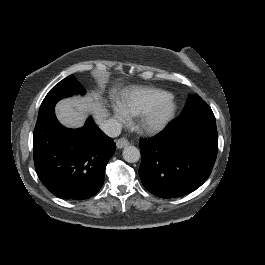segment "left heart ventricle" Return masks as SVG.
Masks as SVG:
<instances>
[{
  "label": "left heart ventricle",
  "mask_w": 265,
  "mask_h": 265,
  "mask_svg": "<svg viewBox=\"0 0 265 265\" xmlns=\"http://www.w3.org/2000/svg\"><path fill=\"white\" fill-rule=\"evenodd\" d=\"M169 104V99L166 96H160L157 99L155 109L156 111H161L165 109Z\"/></svg>",
  "instance_id": "1"
}]
</instances>
